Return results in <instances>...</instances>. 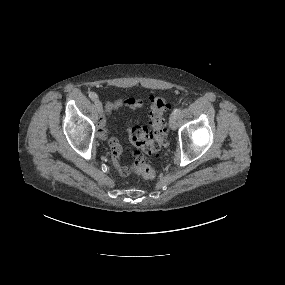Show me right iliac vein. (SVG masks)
Here are the masks:
<instances>
[{
	"instance_id": "right-iliac-vein-1",
	"label": "right iliac vein",
	"mask_w": 285,
	"mask_h": 285,
	"mask_svg": "<svg viewBox=\"0 0 285 285\" xmlns=\"http://www.w3.org/2000/svg\"><path fill=\"white\" fill-rule=\"evenodd\" d=\"M94 104H95V107H96L97 111L99 113H102V110H103L102 103L99 100H95Z\"/></svg>"
}]
</instances>
